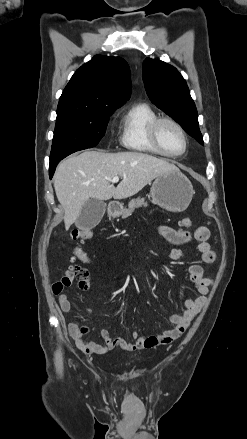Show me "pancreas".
Listing matches in <instances>:
<instances>
[{
	"label": "pancreas",
	"instance_id": "1",
	"mask_svg": "<svg viewBox=\"0 0 247 439\" xmlns=\"http://www.w3.org/2000/svg\"><path fill=\"white\" fill-rule=\"evenodd\" d=\"M142 206H144V207H147V206H148V203L145 202V199H144V198H140V197H138V198H136V199L131 200V201L129 202V204H128V208H125V209L122 210V218H127L128 216L131 215V213H132L135 209H137V208H141Z\"/></svg>",
	"mask_w": 247,
	"mask_h": 439
}]
</instances>
